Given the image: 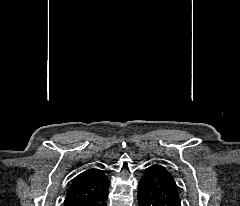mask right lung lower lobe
<instances>
[{
	"mask_svg": "<svg viewBox=\"0 0 240 206\" xmlns=\"http://www.w3.org/2000/svg\"><path fill=\"white\" fill-rule=\"evenodd\" d=\"M107 196H108V188L102 191L100 194L95 197L88 199L78 206H107Z\"/></svg>",
	"mask_w": 240,
	"mask_h": 206,
	"instance_id": "98d812e1",
	"label": "right lung lower lobe"
}]
</instances>
